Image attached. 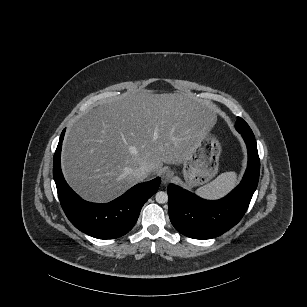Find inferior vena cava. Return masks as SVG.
<instances>
[{"mask_svg":"<svg viewBox=\"0 0 307 307\" xmlns=\"http://www.w3.org/2000/svg\"><path fill=\"white\" fill-rule=\"evenodd\" d=\"M148 174H149V168L146 165H142L133 171V175L138 182H141L144 179H146Z\"/></svg>","mask_w":307,"mask_h":307,"instance_id":"obj_1","label":"inferior vena cava"}]
</instances>
